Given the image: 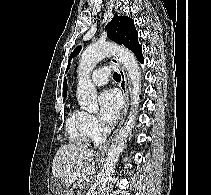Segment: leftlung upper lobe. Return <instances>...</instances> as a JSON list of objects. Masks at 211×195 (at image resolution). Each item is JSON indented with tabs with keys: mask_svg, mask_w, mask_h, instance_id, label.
<instances>
[{
	"mask_svg": "<svg viewBox=\"0 0 211 195\" xmlns=\"http://www.w3.org/2000/svg\"><path fill=\"white\" fill-rule=\"evenodd\" d=\"M107 36L109 39L118 44L124 45L134 52L136 56L142 55L141 46L138 43V33L134 26V21L130 17L114 15L113 19L106 26ZM81 50L78 46L69 57L68 68L70 67V59L75 57Z\"/></svg>",
	"mask_w": 211,
	"mask_h": 195,
	"instance_id": "5c2ea615",
	"label": "left lung upper lobe"
}]
</instances>
